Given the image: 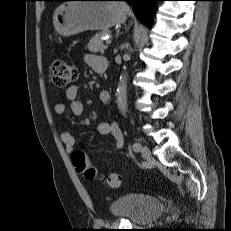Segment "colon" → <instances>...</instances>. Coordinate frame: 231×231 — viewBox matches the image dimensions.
<instances>
[{
	"instance_id": "5ec220e1",
	"label": "colon",
	"mask_w": 231,
	"mask_h": 231,
	"mask_svg": "<svg viewBox=\"0 0 231 231\" xmlns=\"http://www.w3.org/2000/svg\"><path fill=\"white\" fill-rule=\"evenodd\" d=\"M51 71L53 83L57 88L60 89L69 88L72 83L78 79L77 68L64 61L53 62ZM71 158L76 170L84 173L86 179H102L112 188H118L122 185L121 175L116 173L101 175L95 167L89 164L88 157L84 151H74Z\"/></svg>"
}]
</instances>
